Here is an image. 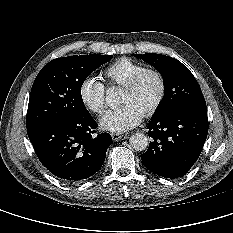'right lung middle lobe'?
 I'll use <instances>...</instances> for the list:
<instances>
[{"mask_svg": "<svg viewBox=\"0 0 233 233\" xmlns=\"http://www.w3.org/2000/svg\"><path fill=\"white\" fill-rule=\"evenodd\" d=\"M112 55H75L57 58L38 73L29 98L27 130L57 121H68L88 113L81 86L91 72Z\"/></svg>", "mask_w": 233, "mask_h": 233, "instance_id": "1", "label": "right lung middle lobe"}]
</instances>
